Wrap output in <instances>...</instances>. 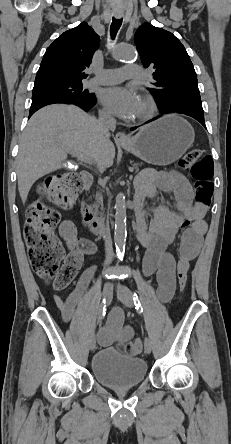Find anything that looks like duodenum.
Segmentation results:
<instances>
[{
	"label": "duodenum",
	"mask_w": 231,
	"mask_h": 444,
	"mask_svg": "<svg viewBox=\"0 0 231 444\" xmlns=\"http://www.w3.org/2000/svg\"><path fill=\"white\" fill-rule=\"evenodd\" d=\"M81 179L86 188H89L92 184V177L89 173L84 172L81 175ZM84 225L89 229V231L95 236H105L103 233L105 230L103 227L105 226L104 218L95 217L89 208L84 207L82 211ZM133 218L136 221V224L142 219L141 213L138 211H134ZM109 226V225H108Z\"/></svg>",
	"instance_id": "410a0bca"
}]
</instances>
